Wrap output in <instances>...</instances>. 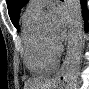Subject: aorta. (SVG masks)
<instances>
[{"mask_svg": "<svg viewBox=\"0 0 89 89\" xmlns=\"http://www.w3.org/2000/svg\"><path fill=\"white\" fill-rule=\"evenodd\" d=\"M68 21V46L63 76L64 89H76L83 50V25L80 0H66ZM50 14L41 10L37 16L40 24L50 22Z\"/></svg>", "mask_w": 89, "mask_h": 89, "instance_id": "1", "label": "aorta"}]
</instances>
